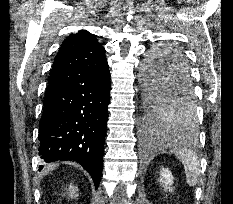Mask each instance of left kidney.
Segmentation results:
<instances>
[{
	"label": "left kidney",
	"mask_w": 233,
	"mask_h": 204,
	"mask_svg": "<svg viewBox=\"0 0 233 204\" xmlns=\"http://www.w3.org/2000/svg\"><path fill=\"white\" fill-rule=\"evenodd\" d=\"M160 182L162 183V186L165 188V190L172 191L171 185L173 184V176L169 169L167 168H162L160 171Z\"/></svg>",
	"instance_id": "obj_1"
}]
</instances>
